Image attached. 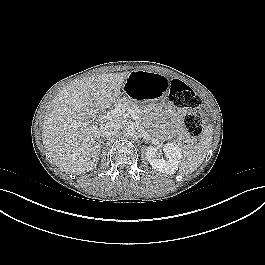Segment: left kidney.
I'll list each match as a JSON object with an SVG mask.
<instances>
[{
    "instance_id": "left-kidney-1",
    "label": "left kidney",
    "mask_w": 265,
    "mask_h": 265,
    "mask_svg": "<svg viewBox=\"0 0 265 265\" xmlns=\"http://www.w3.org/2000/svg\"><path fill=\"white\" fill-rule=\"evenodd\" d=\"M158 152V149L154 146L146 148L145 154L152 168L167 175L174 174L178 170L182 158L181 148L173 142L165 144L163 152L166 156V160L161 159L158 156Z\"/></svg>"
}]
</instances>
